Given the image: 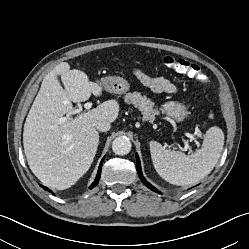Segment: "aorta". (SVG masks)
I'll return each mask as SVG.
<instances>
[{
    "label": "aorta",
    "mask_w": 249,
    "mask_h": 249,
    "mask_svg": "<svg viewBox=\"0 0 249 249\" xmlns=\"http://www.w3.org/2000/svg\"><path fill=\"white\" fill-rule=\"evenodd\" d=\"M132 144L127 137H117L112 142V150L117 155H126L130 152Z\"/></svg>",
    "instance_id": "aorta-1"
}]
</instances>
